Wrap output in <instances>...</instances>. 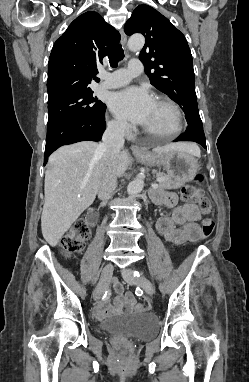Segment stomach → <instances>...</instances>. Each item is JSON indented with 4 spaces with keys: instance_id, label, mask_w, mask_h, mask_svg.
Returning a JSON list of instances; mask_svg holds the SVG:
<instances>
[{
    "instance_id": "obj_1",
    "label": "stomach",
    "mask_w": 249,
    "mask_h": 382,
    "mask_svg": "<svg viewBox=\"0 0 249 382\" xmlns=\"http://www.w3.org/2000/svg\"><path fill=\"white\" fill-rule=\"evenodd\" d=\"M142 163L151 167H163L169 176L191 181L198 171L197 159L188 151L175 149L164 153L147 151L143 156H136Z\"/></svg>"
}]
</instances>
